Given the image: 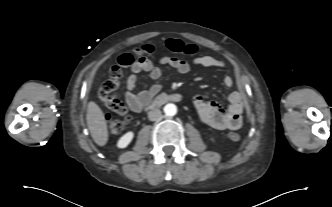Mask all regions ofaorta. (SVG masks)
<instances>
[{"label":"aorta","instance_id":"1","mask_svg":"<svg viewBox=\"0 0 332 207\" xmlns=\"http://www.w3.org/2000/svg\"><path fill=\"white\" fill-rule=\"evenodd\" d=\"M164 113L166 116H174L177 113L175 104L169 103L164 106Z\"/></svg>","mask_w":332,"mask_h":207}]
</instances>
